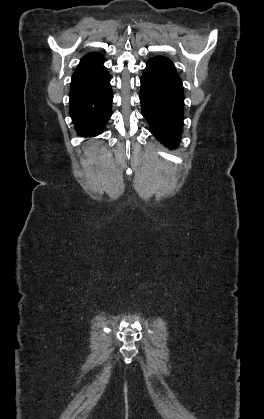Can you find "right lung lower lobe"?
I'll use <instances>...</instances> for the list:
<instances>
[{
    "label": "right lung lower lobe",
    "mask_w": 264,
    "mask_h": 419,
    "mask_svg": "<svg viewBox=\"0 0 264 419\" xmlns=\"http://www.w3.org/2000/svg\"><path fill=\"white\" fill-rule=\"evenodd\" d=\"M110 80L107 72L92 83L71 85L70 115L80 136L101 134L110 119L113 99Z\"/></svg>",
    "instance_id": "right-lung-lower-lobe-1"
}]
</instances>
